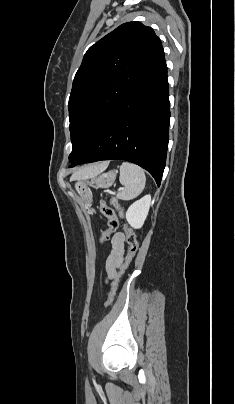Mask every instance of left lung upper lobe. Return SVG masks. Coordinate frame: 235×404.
<instances>
[{
    "instance_id": "left-lung-upper-lobe-1",
    "label": "left lung upper lobe",
    "mask_w": 235,
    "mask_h": 404,
    "mask_svg": "<svg viewBox=\"0 0 235 404\" xmlns=\"http://www.w3.org/2000/svg\"><path fill=\"white\" fill-rule=\"evenodd\" d=\"M163 58L161 41L153 29L137 21L120 25L87 50L68 103L72 164L89 148L121 102Z\"/></svg>"
}]
</instances>
